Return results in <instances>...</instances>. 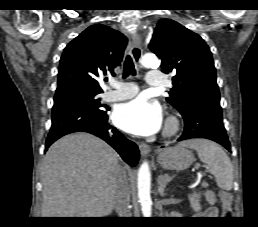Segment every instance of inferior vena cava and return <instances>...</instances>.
I'll use <instances>...</instances> for the list:
<instances>
[{
  "label": "inferior vena cava",
  "mask_w": 258,
  "mask_h": 227,
  "mask_svg": "<svg viewBox=\"0 0 258 227\" xmlns=\"http://www.w3.org/2000/svg\"><path fill=\"white\" fill-rule=\"evenodd\" d=\"M116 189L114 197L115 209L119 217H131L130 190L128 180L124 169L120 168L116 172Z\"/></svg>",
  "instance_id": "1"
}]
</instances>
